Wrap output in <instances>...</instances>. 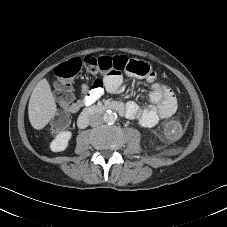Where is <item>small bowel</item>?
I'll return each mask as SVG.
<instances>
[{"mask_svg": "<svg viewBox=\"0 0 227 227\" xmlns=\"http://www.w3.org/2000/svg\"><path fill=\"white\" fill-rule=\"evenodd\" d=\"M144 78L151 84V92L149 94L150 104L146 108H141L133 101L128 102L125 114L129 119L138 120L143 127L152 128L160 119L169 118L175 113L177 98L170 88L161 85L155 80L154 74ZM104 90L114 95L121 93L123 91L122 77L118 75L109 76L104 80V85L98 87L83 83L81 85V98L65 106V109L75 112L83 106H89L100 98Z\"/></svg>", "mask_w": 227, "mask_h": 227, "instance_id": "1", "label": "small bowel"}]
</instances>
